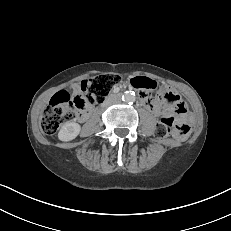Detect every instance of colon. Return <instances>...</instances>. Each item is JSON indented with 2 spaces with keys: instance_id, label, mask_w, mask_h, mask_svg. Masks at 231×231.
<instances>
[{
  "instance_id": "1",
  "label": "colon",
  "mask_w": 231,
  "mask_h": 231,
  "mask_svg": "<svg viewBox=\"0 0 231 231\" xmlns=\"http://www.w3.org/2000/svg\"><path fill=\"white\" fill-rule=\"evenodd\" d=\"M121 82L117 74H103L85 79L78 85L80 93L71 97L66 91H60L50 101L48 108L41 117L40 126L45 134H53L65 122L75 118L79 111L96 106L104 101L111 90ZM132 86L142 94H148L155 86L148 78L138 77L132 80ZM162 98L168 103H176L175 99L167 92L162 93ZM176 116L161 118L156 128L159 138H166L173 134L177 138H185L190 134L191 127L187 122V109L181 103L175 107Z\"/></svg>"
}]
</instances>
